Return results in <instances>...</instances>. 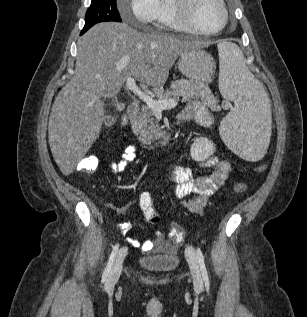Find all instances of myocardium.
I'll use <instances>...</instances> for the list:
<instances>
[{
    "instance_id": "obj_1",
    "label": "myocardium",
    "mask_w": 307,
    "mask_h": 317,
    "mask_svg": "<svg viewBox=\"0 0 307 317\" xmlns=\"http://www.w3.org/2000/svg\"><path fill=\"white\" fill-rule=\"evenodd\" d=\"M173 1V7L175 11V15L177 17L178 22L180 25L187 31L202 35V36H212L220 33L227 25L229 20V11L226 6V3L224 0H217V2L220 4L222 13H223V19L221 22V25L212 31H204L199 29L192 18V10L194 7V4L196 3V0H172Z\"/></svg>"
}]
</instances>
